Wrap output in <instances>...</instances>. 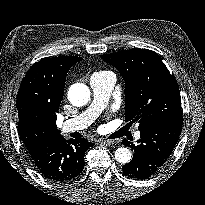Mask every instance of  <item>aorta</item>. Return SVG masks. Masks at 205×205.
<instances>
[{
  "instance_id": "obj_1",
  "label": "aorta",
  "mask_w": 205,
  "mask_h": 205,
  "mask_svg": "<svg viewBox=\"0 0 205 205\" xmlns=\"http://www.w3.org/2000/svg\"><path fill=\"white\" fill-rule=\"evenodd\" d=\"M68 100L74 106H84L90 100V89L82 83L73 84L68 90ZM131 158V151L126 147H120L115 151V160L121 164L130 162Z\"/></svg>"
}]
</instances>
